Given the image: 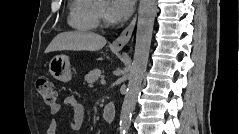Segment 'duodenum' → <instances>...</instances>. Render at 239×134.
Returning a JSON list of instances; mask_svg holds the SVG:
<instances>
[{
    "mask_svg": "<svg viewBox=\"0 0 239 134\" xmlns=\"http://www.w3.org/2000/svg\"><path fill=\"white\" fill-rule=\"evenodd\" d=\"M116 117V109L112 102H107L103 109V119L107 124H112Z\"/></svg>",
    "mask_w": 239,
    "mask_h": 134,
    "instance_id": "duodenum-1",
    "label": "duodenum"
}]
</instances>
